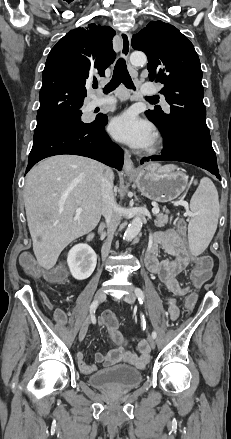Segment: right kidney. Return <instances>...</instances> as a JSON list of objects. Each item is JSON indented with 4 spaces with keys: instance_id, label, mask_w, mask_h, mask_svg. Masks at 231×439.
<instances>
[{
    "instance_id": "ca27d5eb",
    "label": "right kidney",
    "mask_w": 231,
    "mask_h": 439,
    "mask_svg": "<svg viewBox=\"0 0 231 439\" xmlns=\"http://www.w3.org/2000/svg\"><path fill=\"white\" fill-rule=\"evenodd\" d=\"M67 263L72 276L77 280H84L93 273L97 255L89 245L77 244L69 251Z\"/></svg>"
}]
</instances>
